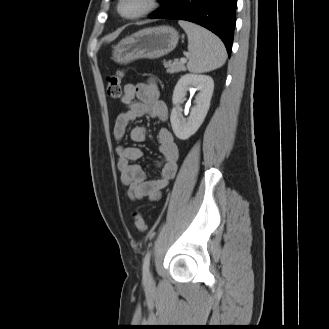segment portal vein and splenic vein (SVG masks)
I'll list each match as a JSON object with an SVG mask.
<instances>
[{
	"instance_id": "obj_1",
	"label": "portal vein and splenic vein",
	"mask_w": 329,
	"mask_h": 329,
	"mask_svg": "<svg viewBox=\"0 0 329 329\" xmlns=\"http://www.w3.org/2000/svg\"><path fill=\"white\" fill-rule=\"evenodd\" d=\"M180 62H182V63H186V62H187V59L184 58V57H182V58L180 59Z\"/></svg>"
}]
</instances>
